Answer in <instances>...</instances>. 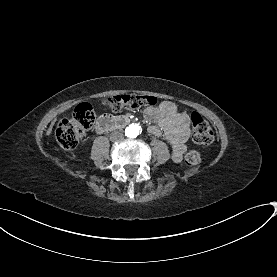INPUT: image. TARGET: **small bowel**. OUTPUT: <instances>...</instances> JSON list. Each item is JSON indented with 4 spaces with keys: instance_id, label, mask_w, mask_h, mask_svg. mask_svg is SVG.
<instances>
[{
    "instance_id": "small-bowel-1",
    "label": "small bowel",
    "mask_w": 277,
    "mask_h": 277,
    "mask_svg": "<svg viewBox=\"0 0 277 277\" xmlns=\"http://www.w3.org/2000/svg\"><path fill=\"white\" fill-rule=\"evenodd\" d=\"M144 116L153 123L148 127V132L155 137L166 138L171 144L173 160L180 162L190 137L188 114L179 112L171 101H162L156 106L146 108Z\"/></svg>"
}]
</instances>
